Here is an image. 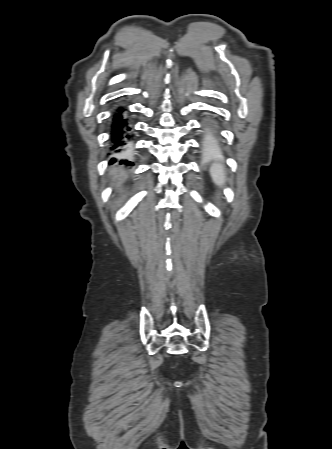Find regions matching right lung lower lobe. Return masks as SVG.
I'll return each mask as SVG.
<instances>
[{
    "mask_svg": "<svg viewBox=\"0 0 332 449\" xmlns=\"http://www.w3.org/2000/svg\"><path fill=\"white\" fill-rule=\"evenodd\" d=\"M112 124L110 131V151L113 155L126 156L129 153L128 145L133 140V128L130 123L127 109L119 106L112 115ZM115 158L110 163H114ZM121 163L131 164L127 160H121Z\"/></svg>",
    "mask_w": 332,
    "mask_h": 449,
    "instance_id": "obj_1",
    "label": "right lung lower lobe"
}]
</instances>
